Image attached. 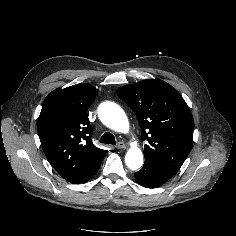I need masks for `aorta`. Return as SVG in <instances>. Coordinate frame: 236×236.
Wrapping results in <instances>:
<instances>
[{"instance_id": "1", "label": "aorta", "mask_w": 236, "mask_h": 236, "mask_svg": "<svg viewBox=\"0 0 236 236\" xmlns=\"http://www.w3.org/2000/svg\"><path fill=\"white\" fill-rule=\"evenodd\" d=\"M98 115L104 125L117 132H127L128 118L123 109L114 102H104L99 106ZM125 163L131 170L139 169L143 164V154L139 147L132 145L125 155Z\"/></svg>"}]
</instances>
